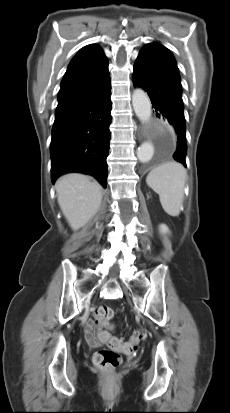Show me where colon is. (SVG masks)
<instances>
[{"label": "colon", "instance_id": "5ec220e1", "mask_svg": "<svg viewBox=\"0 0 230 413\" xmlns=\"http://www.w3.org/2000/svg\"><path fill=\"white\" fill-rule=\"evenodd\" d=\"M114 315L113 309L105 304H100L95 310V320L98 325L107 324ZM145 333L138 329L133 332L129 340L122 345L120 340L114 336L109 338V347L101 348L94 355V363L104 371L111 373L121 364L122 358L117 350L122 349L127 354L137 351L139 344L144 339Z\"/></svg>", "mask_w": 230, "mask_h": 413}]
</instances>
